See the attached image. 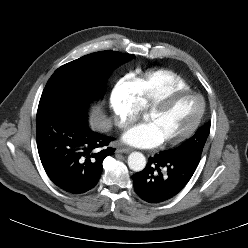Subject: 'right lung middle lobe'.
<instances>
[{
	"label": "right lung middle lobe",
	"instance_id": "1",
	"mask_svg": "<svg viewBox=\"0 0 248 248\" xmlns=\"http://www.w3.org/2000/svg\"><path fill=\"white\" fill-rule=\"evenodd\" d=\"M134 57L115 51L95 52L59 67L48 80L38 108L60 107L85 110L102 98L114 68Z\"/></svg>",
	"mask_w": 248,
	"mask_h": 248
}]
</instances>
